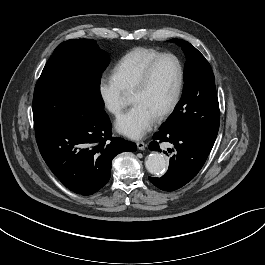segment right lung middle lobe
Returning a JSON list of instances; mask_svg holds the SVG:
<instances>
[{"instance_id":"dd1d6c3e","label":"right lung middle lobe","mask_w":265,"mask_h":265,"mask_svg":"<svg viewBox=\"0 0 265 265\" xmlns=\"http://www.w3.org/2000/svg\"><path fill=\"white\" fill-rule=\"evenodd\" d=\"M108 54L92 39L61 43L45 65L33 97L35 131L61 120L77 107L103 108L100 80Z\"/></svg>"}]
</instances>
